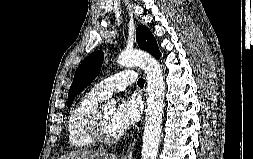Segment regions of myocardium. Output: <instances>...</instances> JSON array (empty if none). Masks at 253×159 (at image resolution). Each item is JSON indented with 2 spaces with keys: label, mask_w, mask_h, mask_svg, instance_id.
<instances>
[{
  "label": "myocardium",
  "mask_w": 253,
  "mask_h": 159,
  "mask_svg": "<svg viewBox=\"0 0 253 159\" xmlns=\"http://www.w3.org/2000/svg\"><path fill=\"white\" fill-rule=\"evenodd\" d=\"M91 132L95 142L99 144L110 145L117 143L121 139V135L111 136L106 131L101 108H98L96 111Z\"/></svg>",
  "instance_id": "obj_1"
}]
</instances>
